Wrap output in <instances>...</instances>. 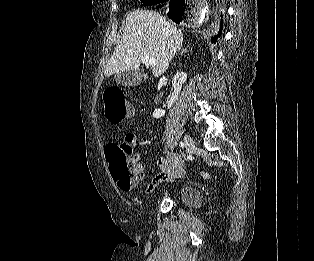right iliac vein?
Listing matches in <instances>:
<instances>
[{
	"instance_id": "right-iliac-vein-1",
	"label": "right iliac vein",
	"mask_w": 314,
	"mask_h": 261,
	"mask_svg": "<svg viewBox=\"0 0 314 261\" xmlns=\"http://www.w3.org/2000/svg\"><path fill=\"white\" fill-rule=\"evenodd\" d=\"M184 143H185L186 151L190 155L193 152L194 147H195L193 138L189 135H185Z\"/></svg>"
}]
</instances>
